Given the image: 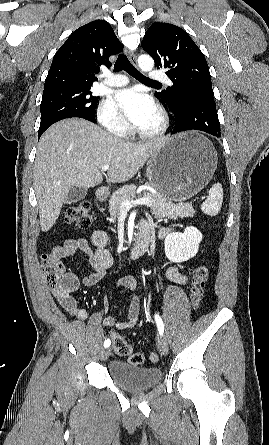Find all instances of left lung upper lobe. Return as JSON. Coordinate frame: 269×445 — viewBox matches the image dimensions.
<instances>
[{"label": "left lung upper lobe", "instance_id": "left-lung-upper-lobe-1", "mask_svg": "<svg viewBox=\"0 0 269 445\" xmlns=\"http://www.w3.org/2000/svg\"><path fill=\"white\" fill-rule=\"evenodd\" d=\"M152 56L155 66L166 68L173 86L156 92L172 110L179 113L180 101L195 94L213 95L211 76L206 59L191 37L180 27L154 22L141 43Z\"/></svg>", "mask_w": 269, "mask_h": 445}]
</instances>
